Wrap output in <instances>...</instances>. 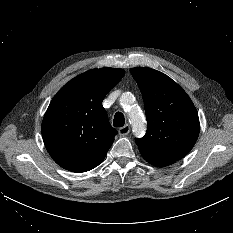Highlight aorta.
Masks as SVG:
<instances>
[{"label": "aorta", "mask_w": 233, "mask_h": 233, "mask_svg": "<svg viewBox=\"0 0 233 233\" xmlns=\"http://www.w3.org/2000/svg\"><path fill=\"white\" fill-rule=\"evenodd\" d=\"M120 101L122 105H125V106L131 105L133 103V95L131 93H124L121 96ZM129 117L131 120L133 132L137 136L144 134L146 130V125H145V121H144L142 114L137 110L136 111L132 110L129 113Z\"/></svg>", "instance_id": "obj_1"}]
</instances>
